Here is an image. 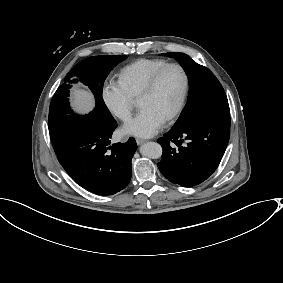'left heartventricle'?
<instances>
[{"mask_svg":"<svg viewBox=\"0 0 283 283\" xmlns=\"http://www.w3.org/2000/svg\"><path fill=\"white\" fill-rule=\"evenodd\" d=\"M183 89V76L178 68L168 69L159 79L154 91L138 102L165 119L175 108Z\"/></svg>","mask_w":283,"mask_h":283,"instance_id":"b2bd125f","label":"left heart ventricle"}]
</instances>
